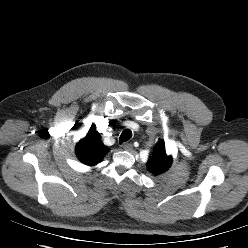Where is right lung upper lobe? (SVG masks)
Wrapping results in <instances>:
<instances>
[{
	"mask_svg": "<svg viewBox=\"0 0 248 248\" xmlns=\"http://www.w3.org/2000/svg\"><path fill=\"white\" fill-rule=\"evenodd\" d=\"M108 152V147L101 142V136L94 127L90 128L86 137L76 146L78 159L89 166L100 163Z\"/></svg>",
	"mask_w": 248,
	"mask_h": 248,
	"instance_id": "cb5924a9",
	"label": "right lung upper lobe"
}]
</instances>
